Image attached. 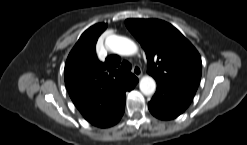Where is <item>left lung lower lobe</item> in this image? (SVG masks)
Listing matches in <instances>:
<instances>
[{
    "mask_svg": "<svg viewBox=\"0 0 247 145\" xmlns=\"http://www.w3.org/2000/svg\"><path fill=\"white\" fill-rule=\"evenodd\" d=\"M192 100V96L157 83L156 93L148 103V108L155 117L161 120H170L182 114Z\"/></svg>",
    "mask_w": 247,
    "mask_h": 145,
    "instance_id": "obj_1",
    "label": "left lung lower lobe"
}]
</instances>
